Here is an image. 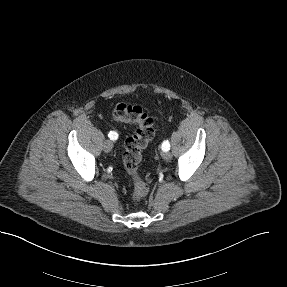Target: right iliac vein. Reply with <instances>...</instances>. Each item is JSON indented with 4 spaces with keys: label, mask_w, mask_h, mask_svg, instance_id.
<instances>
[{
    "label": "right iliac vein",
    "mask_w": 287,
    "mask_h": 287,
    "mask_svg": "<svg viewBox=\"0 0 287 287\" xmlns=\"http://www.w3.org/2000/svg\"><path fill=\"white\" fill-rule=\"evenodd\" d=\"M113 148V143L110 140H106L103 145V149L105 152H110Z\"/></svg>",
    "instance_id": "right-iliac-vein-1"
}]
</instances>
